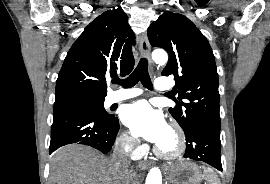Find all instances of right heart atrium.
Listing matches in <instances>:
<instances>
[{
	"label": "right heart atrium",
	"instance_id": "d8ad5b80",
	"mask_svg": "<svg viewBox=\"0 0 270 184\" xmlns=\"http://www.w3.org/2000/svg\"><path fill=\"white\" fill-rule=\"evenodd\" d=\"M118 143L122 149L128 153L136 155L140 152L136 139L133 138L128 132H123L119 136Z\"/></svg>",
	"mask_w": 270,
	"mask_h": 184
}]
</instances>
